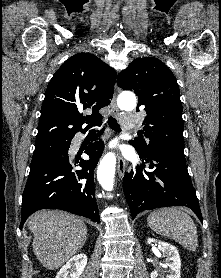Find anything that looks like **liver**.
<instances>
[{"instance_id": "1", "label": "liver", "mask_w": 221, "mask_h": 278, "mask_svg": "<svg viewBox=\"0 0 221 278\" xmlns=\"http://www.w3.org/2000/svg\"><path fill=\"white\" fill-rule=\"evenodd\" d=\"M33 233V252L47 269L61 267L85 244L87 228L74 215L57 210H41L27 222Z\"/></svg>"}]
</instances>
